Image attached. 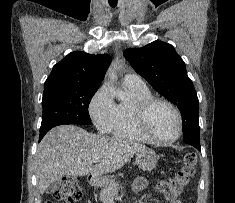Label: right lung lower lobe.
Instances as JSON below:
<instances>
[{
    "mask_svg": "<svg viewBox=\"0 0 235 203\" xmlns=\"http://www.w3.org/2000/svg\"><path fill=\"white\" fill-rule=\"evenodd\" d=\"M50 129H51V128L40 131L39 141L44 137V135H45Z\"/></svg>",
    "mask_w": 235,
    "mask_h": 203,
    "instance_id": "98d812e1",
    "label": "right lung lower lobe"
}]
</instances>
